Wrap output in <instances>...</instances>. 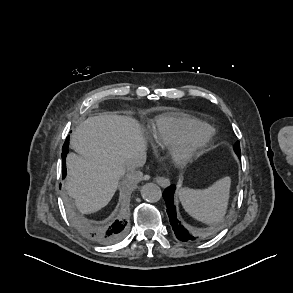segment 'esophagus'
Instances as JSON below:
<instances>
[{"instance_id":"34e87169","label":"esophagus","mask_w":293,"mask_h":293,"mask_svg":"<svg viewBox=\"0 0 293 293\" xmlns=\"http://www.w3.org/2000/svg\"><path fill=\"white\" fill-rule=\"evenodd\" d=\"M156 182L162 187H167L170 184L169 179L166 177H157Z\"/></svg>"}]
</instances>
